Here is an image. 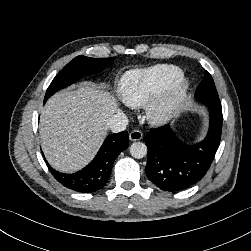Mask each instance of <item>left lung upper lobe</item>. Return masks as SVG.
Wrapping results in <instances>:
<instances>
[{
    "instance_id": "5c2ea615",
    "label": "left lung upper lobe",
    "mask_w": 251,
    "mask_h": 251,
    "mask_svg": "<svg viewBox=\"0 0 251 251\" xmlns=\"http://www.w3.org/2000/svg\"><path fill=\"white\" fill-rule=\"evenodd\" d=\"M195 98L206 105H221L214 81L207 71L196 89Z\"/></svg>"
}]
</instances>
